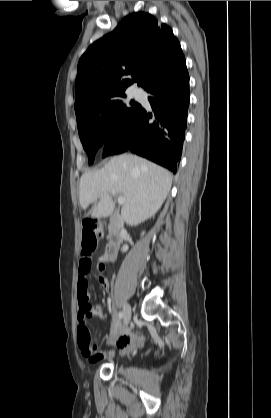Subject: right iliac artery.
I'll return each instance as SVG.
<instances>
[{"label": "right iliac artery", "mask_w": 271, "mask_h": 418, "mask_svg": "<svg viewBox=\"0 0 271 418\" xmlns=\"http://www.w3.org/2000/svg\"><path fill=\"white\" fill-rule=\"evenodd\" d=\"M119 320H121L122 318H123V312L121 311V312H119Z\"/></svg>", "instance_id": "right-iliac-artery-1"}]
</instances>
